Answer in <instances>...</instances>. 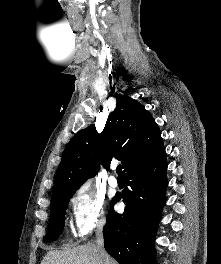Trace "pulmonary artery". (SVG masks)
Here are the masks:
<instances>
[{"label": "pulmonary artery", "instance_id": "pulmonary-artery-1", "mask_svg": "<svg viewBox=\"0 0 221 264\" xmlns=\"http://www.w3.org/2000/svg\"><path fill=\"white\" fill-rule=\"evenodd\" d=\"M108 182H109V185L111 187H117L118 186V180L117 178L114 176V175H111L109 178H108Z\"/></svg>", "mask_w": 221, "mask_h": 264}]
</instances>
